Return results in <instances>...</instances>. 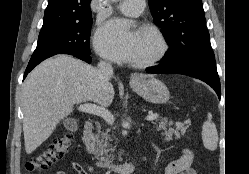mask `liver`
Returning a JSON list of instances; mask_svg holds the SVG:
<instances>
[{"instance_id": "liver-1", "label": "liver", "mask_w": 249, "mask_h": 174, "mask_svg": "<svg viewBox=\"0 0 249 174\" xmlns=\"http://www.w3.org/2000/svg\"><path fill=\"white\" fill-rule=\"evenodd\" d=\"M114 98L111 83H102L97 69L68 55L40 63L23 85V132L27 154H31L55 130L75 104L92 101L109 106Z\"/></svg>"}]
</instances>
